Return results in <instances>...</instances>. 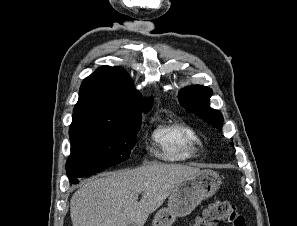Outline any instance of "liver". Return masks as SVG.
I'll return each instance as SVG.
<instances>
[{
    "mask_svg": "<svg viewBox=\"0 0 297 226\" xmlns=\"http://www.w3.org/2000/svg\"><path fill=\"white\" fill-rule=\"evenodd\" d=\"M200 169L180 164L154 163L105 173L89 179L73 194L70 215L73 226H144L184 179ZM142 194L138 202V195Z\"/></svg>",
    "mask_w": 297,
    "mask_h": 226,
    "instance_id": "1",
    "label": "liver"
}]
</instances>
